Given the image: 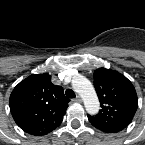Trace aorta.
Returning <instances> with one entry per match:
<instances>
[{"label":"aorta","mask_w":145,"mask_h":145,"mask_svg":"<svg viewBox=\"0 0 145 145\" xmlns=\"http://www.w3.org/2000/svg\"><path fill=\"white\" fill-rule=\"evenodd\" d=\"M72 87L81 96L86 111L91 115L96 114L100 103L92 83L86 77L77 75L72 80Z\"/></svg>","instance_id":"obj_1"}]
</instances>
